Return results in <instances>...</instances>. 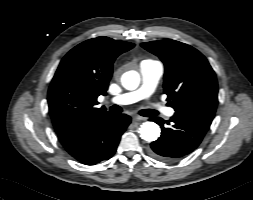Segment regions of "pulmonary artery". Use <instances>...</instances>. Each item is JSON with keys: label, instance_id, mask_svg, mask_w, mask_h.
Masks as SVG:
<instances>
[{"label": "pulmonary artery", "instance_id": "obj_1", "mask_svg": "<svg viewBox=\"0 0 253 200\" xmlns=\"http://www.w3.org/2000/svg\"><path fill=\"white\" fill-rule=\"evenodd\" d=\"M140 72L142 75L141 87L135 91L113 97L110 102L127 105L148 98L163 75V65L155 60H144L140 63ZM160 109L168 117L173 116L175 113L173 108L160 107Z\"/></svg>", "mask_w": 253, "mask_h": 200}]
</instances>
